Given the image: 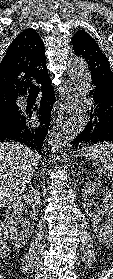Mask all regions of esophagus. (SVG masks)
I'll return each mask as SVG.
<instances>
[{
  "mask_svg": "<svg viewBox=\"0 0 113 279\" xmlns=\"http://www.w3.org/2000/svg\"><path fill=\"white\" fill-rule=\"evenodd\" d=\"M66 112L71 114L76 109L77 95L70 81L64 84Z\"/></svg>",
  "mask_w": 113,
  "mask_h": 279,
  "instance_id": "esophagus-1",
  "label": "esophagus"
}]
</instances>
